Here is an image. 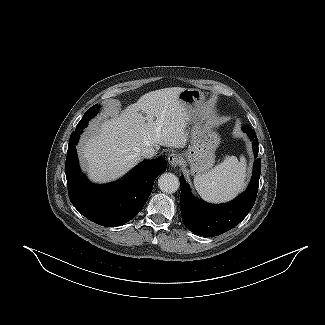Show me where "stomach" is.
Here are the masks:
<instances>
[{"mask_svg":"<svg viewBox=\"0 0 325 325\" xmlns=\"http://www.w3.org/2000/svg\"><path fill=\"white\" fill-rule=\"evenodd\" d=\"M205 96L199 89H184L179 100L192 115L193 128L190 131L188 149L182 154L190 164L192 175L208 171L215 162V150L220 144V136L205 123L203 106Z\"/></svg>","mask_w":325,"mask_h":325,"instance_id":"obj_1","label":"stomach"}]
</instances>
